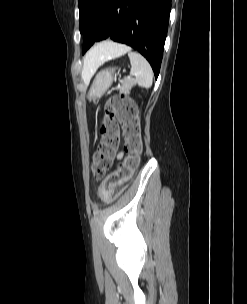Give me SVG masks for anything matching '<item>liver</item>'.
<instances>
[{
	"label": "liver",
	"instance_id": "6515ba94",
	"mask_svg": "<svg viewBox=\"0 0 247 304\" xmlns=\"http://www.w3.org/2000/svg\"><path fill=\"white\" fill-rule=\"evenodd\" d=\"M129 48L122 44L106 41L95 45L85 56L84 66L82 70V78L84 82L90 80L99 66L105 61L117 57L121 52Z\"/></svg>",
	"mask_w": 247,
	"mask_h": 304
}]
</instances>
